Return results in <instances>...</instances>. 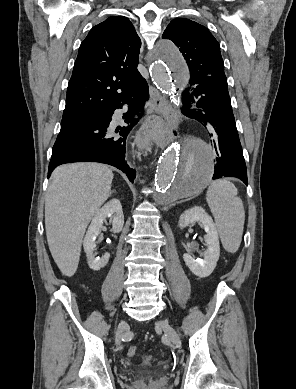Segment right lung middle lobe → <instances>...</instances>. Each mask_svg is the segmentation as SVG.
<instances>
[{
    "label": "right lung middle lobe",
    "mask_w": 296,
    "mask_h": 389,
    "mask_svg": "<svg viewBox=\"0 0 296 389\" xmlns=\"http://www.w3.org/2000/svg\"><path fill=\"white\" fill-rule=\"evenodd\" d=\"M91 117L62 119L60 132H65L89 122Z\"/></svg>",
    "instance_id": "obj_1"
}]
</instances>
